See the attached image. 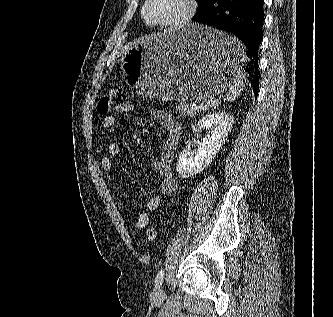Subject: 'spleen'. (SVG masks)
<instances>
[{"instance_id": "spleen-1", "label": "spleen", "mask_w": 333, "mask_h": 317, "mask_svg": "<svg viewBox=\"0 0 333 317\" xmlns=\"http://www.w3.org/2000/svg\"><path fill=\"white\" fill-rule=\"evenodd\" d=\"M225 44L232 47L235 55L233 60L238 61V56L241 52V43L238 41V39L231 36L229 40L225 41ZM234 70L235 74L233 82L229 87V91L226 96V100L230 102L234 101L241 94V91L244 87V80L246 79V72L240 66H237L236 64Z\"/></svg>"}]
</instances>
